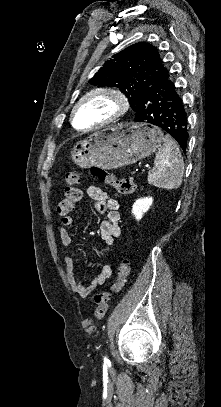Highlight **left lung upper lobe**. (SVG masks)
Here are the masks:
<instances>
[{
    "instance_id": "5c2ea615",
    "label": "left lung upper lobe",
    "mask_w": 221,
    "mask_h": 407,
    "mask_svg": "<svg viewBox=\"0 0 221 407\" xmlns=\"http://www.w3.org/2000/svg\"><path fill=\"white\" fill-rule=\"evenodd\" d=\"M106 61L89 82L98 87L118 88L136 111L140 92L167 70L158 50L147 42L133 44Z\"/></svg>"
}]
</instances>
